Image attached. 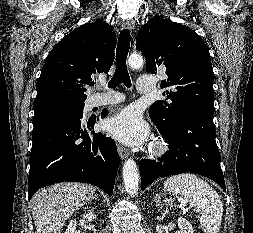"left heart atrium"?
Segmentation results:
<instances>
[{"instance_id": "obj_1", "label": "left heart atrium", "mask_w": 253, "mask_h": 233, "mask_svg": "<svg viewBox=\"0 0 253 233\" xmlns=\"http://www.w3.org/2000/svg\"><path fill=\"white\" fill-rule=\"evenodd\" d=\"M105 129L116 139L129 144H142L148 137L149 128L140 112L127 108L105 123Z\"/></svg>"}]
</instances>
